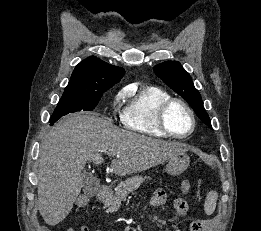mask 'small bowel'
<instances>
[{
  "instance_id": "1",
  "label": "small bowel",
  "mask_w": 261,
  "mask_h": 231,
  "mask_svg": "<svg viewBox=\"0 0 261 231\" xmlns=\"http://www.w3.org/2000/svg\"><path fill=\"white\" fill-rule=\"evenodd\" d=\"M187 180H183L182 184ZM166 201V194L162 189H157L151 199L149 204L152 208H158L162 206ZM174 211H175V219L177 216H186L189 214V204L184 198H176L173 203ZM194 220H192L193 222ZM214 220L205 221V226L202 227L199 231H214ZM65 231H89L87 226H79L77 228H67ZM101 231V230H95Z\"/></svg>"
}]
</instances>
